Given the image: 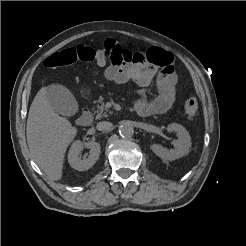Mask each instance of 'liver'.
Here are the masks:
<instances>
[{
	"instance_id": "1",
	"label": "liver",
	"mask_w": 246,
	"mask_h": 246,
	"mask_svg": "<svg viewBox=\"0 0 246 246\" xmlns=\"http://www.w3.org/2000/svg\"><path fill=\"white\" fill-rule=\"evenodd\" d=\"M78 130L50 106L47 87L36 94L28 113L26 137L32 159L50 180L62 178L66 150Z\"/></svg>"
}]
</instances>
